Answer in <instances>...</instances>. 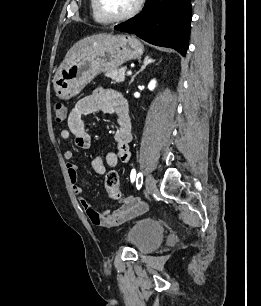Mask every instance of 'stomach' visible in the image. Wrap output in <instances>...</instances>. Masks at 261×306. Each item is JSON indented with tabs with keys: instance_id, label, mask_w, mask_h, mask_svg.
Listing matches in <instances>:
<instances>
[{
	"instance_id": "stomach-1",
	"label": "stomach",
	"mask_w": 261,
	"mask_h": 306,
	"mask_svg": "<svg viewBox=\"0 0 261 306\" xmlns=\"http://www.w3.org/2000/svg\"><path fill=\"white\" fill-rule=\"evenodd\" d=\"M144 46L134 36L109 35L64 60L55 73L53 86L61 99L79 94L99 73L116 70L127 61L138 59Z\"/></svg>"
}]
</instances>
